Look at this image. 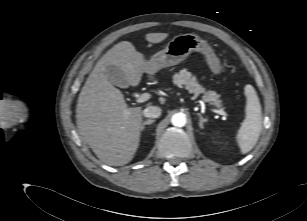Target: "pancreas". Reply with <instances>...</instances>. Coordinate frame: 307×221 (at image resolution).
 I'll list each match as a JSON object with an SVG mask.
<instances>
[{
	"instance_id": "1",
	"label": "pancreas",
	"mask_w": 307,
	"mask_h": 221,
	"mask_svg": "<svg viewBox=\"0 0 307 221\" xmlns=\"http://www.w3.org/2000/svg\"><path fill=\"white\" fill-rule=\"evenodd\" d=\"M173 83L178 87H184L189 93H194L195 96L203 93V100L205 102H208L216 107L222 106V101L219 99L220 95H218L215 91H205V88L198 83L196 77L185 69L173 76Z\"/></svg>"
}]
</instances>
